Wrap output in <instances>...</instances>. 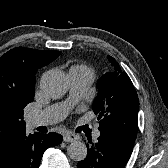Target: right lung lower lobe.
Here are the masks:
<instances>
[{"mask_svg": "<svg viewBox=\"0 0 168 168\" xmlns=\"http://www.w3.org/2000/svg\"><path fill=\"white\" fill-rule=\"evenodd\" d=\"M61 141L62 136L57 133L27 135L24 130L0 150V168H39L44 151Z\"/></svg>", "mask_w": 168, "mask_h": 168, "instance_id": "obj_1", "label": "right lung lower lobe"}]
</instances>
